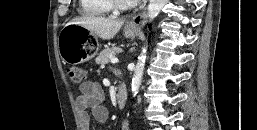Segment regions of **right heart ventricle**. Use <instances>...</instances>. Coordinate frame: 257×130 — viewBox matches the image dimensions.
I'll return each mask as SVG.
<instances>
[{
    "label": "right heart ventricle",
    "instance_id": "obj_1",
    "mask_svg": "<svg viewBox=\"0 0 257 130\" xmlns=\"http://www.w3.org/2000/svg\"><path fill=\"white\" fill-rule=\"evenodd\" d=\"M79 11L90 16L106 15L112 11L106 0H79Z\"/></svg>",
    "mask_w": 257,
    "mask_h": 130
}]
</instances>
